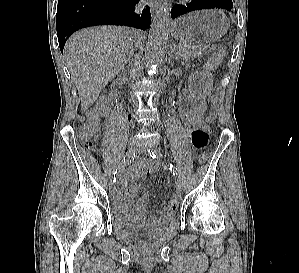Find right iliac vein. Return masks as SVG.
<instances>
[{"label":"right iliac vein","instance_id":"right-iliac-vein-1","mask_svg":"<svg viewBox=\"0 0 299 273\" xmlns=\"http://www.w3.org/2000/svg\"><path fill=\"white\" fill-rule=\"evenodd\" d=\"M135 147H136L135 142H133V141L129 142L127 145V148H126L127 153H133L135 151ZM114 189H115V184L111 183L110 184V192H113Z\"/></svg>","mask_w":299,"mask_h":273}]
</instances>
